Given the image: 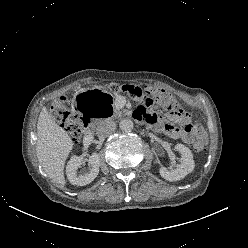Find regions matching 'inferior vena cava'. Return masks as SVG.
I'll return each mask as SVG.
<instances>
[{
    "label": "inferior vena cava",
    "mask_w": 248,
    "mask_h": 248,
    "mask_svg": "<svg viewBox=\"0 0 248 248\" xmlns=\"http://www.w3.org/2000/svg\"><path fill=\"white\" fill-rule=\"evenodd\" d=\"M116 129V124L112 120L104 121L97 129L100 137H107L111 135Z\"/></svg>",
    "instance_id": "obj_1"
}]
</instances>
